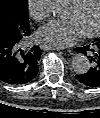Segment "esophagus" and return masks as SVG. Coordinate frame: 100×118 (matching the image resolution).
Segmentation results:
<instances>
[{"label":"esophagus","mask_w":100,"mask_h":118,"mask_svg":"<svg viewBox=\"0 0 100 118\" xmlns=\"http://www.w3.org/2000/svg\"><path fill=\"white\" fill-rule=\"evenodd\" d=\"M40 47H41V49L44 50V51L57 50V49H59V48H55V47H52V46L47 45V44H42ZM68 52L71 53V50H68Z\"/></svg>","instance_id":"1"}]
</instances>
